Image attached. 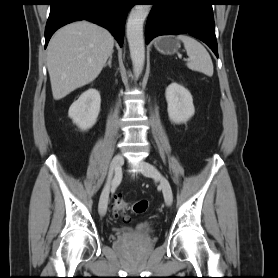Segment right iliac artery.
<instances>
[{"mask_svg":"<svg viewBox=\"0 0 278 278\" xmlns=\"http://www.w3.org/2000/svg\"><path fill=\"white\" fill-rule=\"evenodd\" d=\"M121 179H122L121 169H117L115 171V176H114V179L112 181L113 186H118L120 181H121Z\"/></svg>","mask_w":278,"mask_h":278,"instance_id":"82829eb1","label":"right iliac artery"}]
</instances>
